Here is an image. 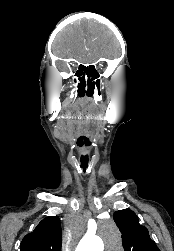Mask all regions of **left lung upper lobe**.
<instances>
[{
	"label": "left lung upper lobe",
	"instance_id": "1",
	"mask_svg": "<svg viewBox=\"0 0 174 251\" xmlns=\"http://www.w3.org/2000/svg\"><path fill=\"white\" fill-rule=\"evenodd\" d=\"M113 218L122 233L125 251H160L151 240L147 228L139 224L138 217L132 210L116 211Z\"/></svg>",
	"mask_w": 174,
	"mask_h": 251
}]
</instances>
